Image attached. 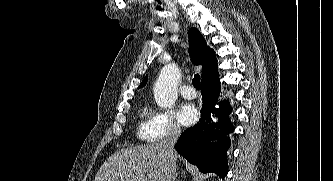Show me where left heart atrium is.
<instances>
[{"label": "left heart atrium", "instance_id": "1", "mask_svg": "<svg viewBox=\"0 0 333 181\" xmlns=\"http://www.w3.org/2000/svg\"><path fill=\"white\" fill-rule=\"evenodd\" d=\"M177 118L182 125H191L197 118L195 106L191 103L182 104L178 110Z\"/></svg>", "mask_w": 333, "mask_h": 181}]
</instances>
